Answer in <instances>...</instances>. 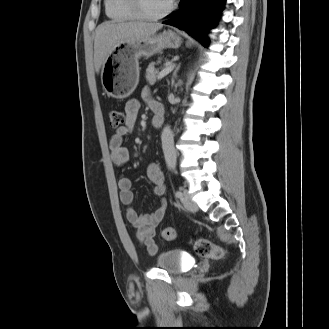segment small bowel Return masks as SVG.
<instances>
[{
  "label": "small bowel",
  "instance_id": "small-bowel-1",
  "mask_svg": "<svg viewBox=\"0 0 329 329\" xmlns=\"http://www.w3.org/2000/svg\"><path fill=\"white\" fill-rule=\"evenodd\" d=\"M145 97L152 108L154 104H159L150 98L147 93ZM160 105V104H159ZM140 110V103L136 99L129 100L125 105V124L117 128L109 141L111 150V160L115 167L122 168L129 160V151L124 146V137L132 133ZM146 175L153 184V193L158 197H163L166 193L164 174L158 163L150 164L146 169ZM120 201L127 205L125 216L136 229V237L149 254L157 253L159 244L155 241L156 228L165 214V202L161 201L160 206L152 213L139 214L130 205L133 202L134 194L132 181L129 178H121L118 182Z\"/></svg>",
  "mask_w": 329,
  "mask_h": 329
}]
</instances>
